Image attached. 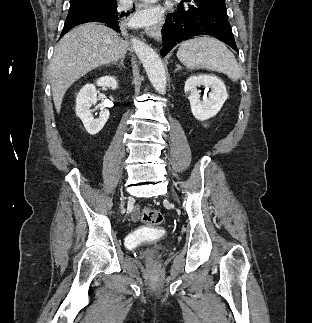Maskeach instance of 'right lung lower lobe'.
Returning <instances> with one entry per match:
<instances>
[{"mask_svg": "<svg viewBox=\"0 0 312 323\" xmlns=\"http://www.w3.org/2000/svg\"><path fill=\"white\" fill-rule=\"evenodd\" d=\"M130 12L117 9L115 0H102L87 6H78L69 10L61 37L72 27L87 23L101 22L117 32L128 27Z\"/></svg>", "mask_w": 312, "mask_h": 323, "instance_id": "98d812e1", "label": "right lung lower lobe"}]
</instances>
